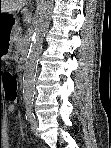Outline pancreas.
Here are the masks:
<instances>
[{
	"label": "pancreas",
	"mask_w": 111,
	"mask_h": 148,
	"mask_svg": "<svg viewBox=\"0 0 111 148\" xmlns=\"http://www.w3.org/2000/svg\"><path fill=\"white\" fill-rule=\"evenodd\" d=\"M14 38L16 40L17 46L19 45V40L22 39V41H24V38H23L22 34L19 32V29H17V30L15 29V31H14Z\"/></svg>",
	"instance_id": "cf45deb5"
}]
</instances>
